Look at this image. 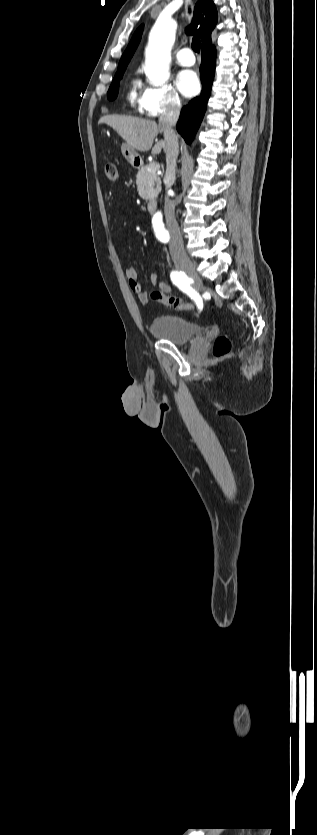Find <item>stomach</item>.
I'll return each instance as SVG.
<instances>
[{
	"instance_id": "1",
	"label": "stomach",
	"mask_w": 317,
	"mask_h": 835,
	"mask_svg": "<svg viewBox=\"0 0 317 835\" xmlns=\"http://www.w3.org/2000/svg\"><path fill=\"white\" fill-rule=\"evenodd\" d=\"M121 152L125 159L132 165H136V163H139L142 160L140 155L127 143L122 144Z\"/></svg>"
}]
</instances>
